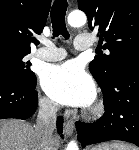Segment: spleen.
I'll return each mask as SVG.
<instances>
[{"label":"spleen","instance_id":"3e777b00","mask_svg":"<svg viewBox=\"0 0 139 150\" xmlns=\"http://www.w3.org/2000/svg\"><path fill=\"white\" fill-rule=\"evenodd\" d=\"M112 150H136L134 147L123 142H115L111 144Z\"/></svg>","mask_w":139,"mask_h":150}]
</instances>
